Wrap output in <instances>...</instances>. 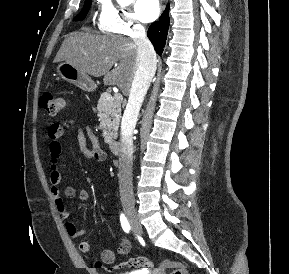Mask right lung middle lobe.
I'll return each mask as SVG.
<instances>
[{
    "mask_svg": "<svg viewBox=\"0 0 289 274\" xmlns=\"http://www.w3.org/2000/svg\"><path fill=\"white\" fill-rule=\"evenodd\" d=\"M91 3H92V0H85L84 7H83L82 11L80 12V14L77 15L75 20H83L86 17V15L90 9Z\"/></svg>",
    "mask_w": 289,
    "mask_h": 274,
    "instance_id": "dd1d6c3e",
    "label": "right lung middle lobe"
}]
</instances>
